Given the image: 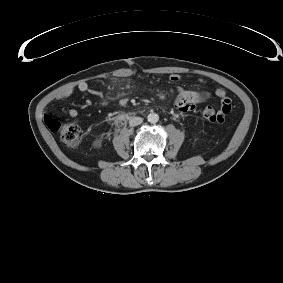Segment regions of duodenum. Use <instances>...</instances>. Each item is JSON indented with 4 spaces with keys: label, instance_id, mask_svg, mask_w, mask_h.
Instances as JSON below:
<instances>
[{
    "label": "duodenum",
    "instance_id": "obj_1",
    "mask_svg": "<svg viewBox=\"0 0 283 283\" xmlns=\"http://www.w3.org/2000/svg\"><path fill=\"white\" fill-rule=\"evenodd\" d=\"M134 117V114L133 113H126V114H123L122 116H120V121L122 122H125L131 118Z\"/></svg>",
    "mask_w": 283,
    "mask_h": 283
}]
</instances>
